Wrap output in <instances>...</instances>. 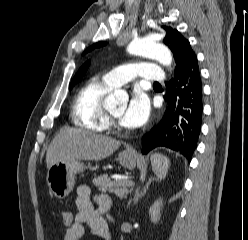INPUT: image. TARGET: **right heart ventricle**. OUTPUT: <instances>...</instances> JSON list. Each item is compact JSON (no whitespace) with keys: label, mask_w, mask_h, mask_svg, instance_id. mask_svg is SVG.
I'll return each mask as SVG.
<instances>
[{"label":"right heart ventricle","mask_w":248,"mask_h":240,"mask_svg":"<svg viewBox=\"0 0 248 240\" xmlns=\"http://www.w3.org/2000/svg\"><path fill=\"white\" fill-rule=\"evenodd\" d=\"M113 88L104 79L93 78L78 92L73 103V122L76 126L103 131L108 127L103 106L106 94Z\"/></svg>","instance_id":"right-heart-ventricle-1"}]
</instances>
